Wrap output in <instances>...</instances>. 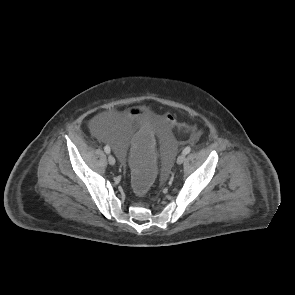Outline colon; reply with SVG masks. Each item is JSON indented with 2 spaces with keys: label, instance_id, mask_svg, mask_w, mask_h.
<instances>
[{
  "label": "colon",
  "instance_id": "1",
  "mask_svg": "<svg viewBox=\"0 0 295 295\" xmlns=\"http://www.w3.org/2000/svg\"><path fill=\"white\" fill-rule=\"evenodd\" d=\"M164 121H175V112H164ZM122 119L125 127H134L135 142L131 149V158L137 162L131 170V184L137 189L139 194L148 191L154 183L156 168V150L153 141L154 135L151 131L149 121H154V112H123ZM187 131L188 128L183 126Z\"/></svg>",
  "mask_w": 295,
  "mask_h": 295
}]
</instances>
